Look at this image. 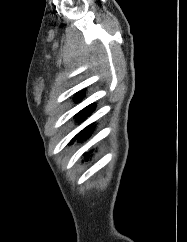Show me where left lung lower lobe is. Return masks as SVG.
<instances>
[{
  "instance_id": "0a47b994",
  "label": "left lung lower lobe",
  "mask_w": 187,
  "mask_h": 242,
  "mask_svg": "<svg viewBox=\"0 0 187 242\" xmlns=\"http://www.w3.org/2000/svg\"><path fill=\"white\" fill-rule=\"evenodd\" d=\"M93 129H94V128H91V129H89L88 131H86V132L81 136L80 140H84V139H86L87 137H89V136L91 135ZM88 158H89V156L87 155V156L85 157V159L87 160Z\"/></svg>"
}]
</instances>
